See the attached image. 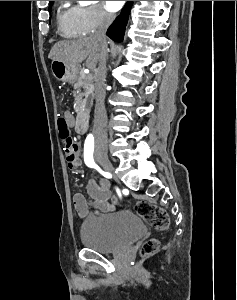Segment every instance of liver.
I'll list each match as a JSON object with an SVG mask.
<instances>
[{"instance_id":"6515ba94","label":"liver","mask_w":237,"mask_h":300,"mask_svg":"<svg viewBox=\"0 0 237 300\" xmlns=\"http://www.w3.org/2000/svg\"><path fill=\"white\" fill-rule=\"evenodd\" d=\"M100 43L94 37H83L78 41H58L53 45L48 59H57L67 65H78L85 59L88 69H95L100 53Z\"/></svg>"}]
</instances>
